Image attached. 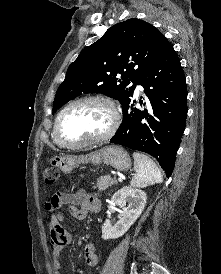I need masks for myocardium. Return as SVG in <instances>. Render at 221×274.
I'll use <instances>...</instances> for the list:
<instances>
[{"label":"myocardium","mask_w":221,"mask_h":274,"mask_svg":"<svg viewBox=\"0 0 221 274\" xmlns=\"http://www.w3.org/2000/svg\"><path fill=\"white\" fill-rule=\"evenodd\" d=\"M86 102L100 103V104L105 105L109 109L110 114H111V123H110L108 129L103 134H101L97 137L88 139V140L78 141V142L66 141L65 139H63V137L61 136V132H60L61 120H62L64 114L73 106L81 104V103H86ZM120 121H121L120 111L113 100H111L110 98H107V97L99 96V95L84 96V97L77 98V99L71 101L59 112V114L57 115L56 120H55L54 135H55V138L58 141V143L63 147L81 148V147H85V146H89V145H93V144H98V143H101V142H104V141L110 139L117 131V129L120 125Z\"/></svg>","instance_id":"obj_1"}]
</instances>
